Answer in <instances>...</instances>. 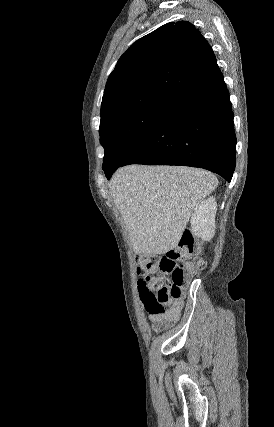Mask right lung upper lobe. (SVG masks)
Returning a JSON list of instances; mask_svg holds the SVG:
<instances>
[{
    "label": "right lung upper lobe",
    "instance_id": "cb5924a9",
    "mask_svg": "<svg viewBox=\"0 0 274 427\" xmlns=\"http://www.w3.org/2000/svg\"><path fill=\"white\" fill-rule=\"evenodd\" d=\"M220 73L212 48L190 22H171L132 44L110 74L101 113L151 94L181 97Z\"/></svg>",
    "mask_w": 274,
    "mask_h": 427
}]
</instances>
